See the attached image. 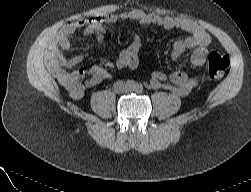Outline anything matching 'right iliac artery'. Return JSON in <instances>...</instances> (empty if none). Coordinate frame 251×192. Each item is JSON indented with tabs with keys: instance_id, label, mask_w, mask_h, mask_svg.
<instances>
[{
	"instance_id": "1",
	"label": "right iliac artery",
	"mask_w": 251,
	"mask_h": 192,
	"mask_svg": "<svg viewBox=\"0 0 251 192\" xmlns=\"http://www.w3.org/2000/svg\"><path fill=\"white\" fill-rule=\"evenodd\" d=\"M127 86L130 88H135L136 87V83L134 80H128L127 81Z\"/></svg>"
}]
</instances>
